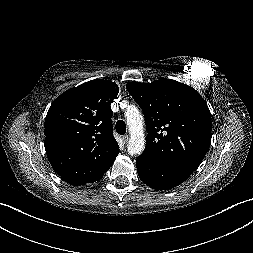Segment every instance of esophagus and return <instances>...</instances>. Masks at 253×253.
I'll use <instances>...</instances> for the list:
<instances>
[{"label":"esophagus","instance_id":"1","mask_svg":"<svg viewBox=\"0 0 253 253\" xmlns=\"http://www.w3.org/2000/svg\"><path fill=\"white\" fill-rule=\"evenodd\" d=\"M129 139H130V138H129L128 135H124V136L122 137V140H123V142H124L125 144L128 143Z\"/></svg>","mask_w":253,"mask_h":253}]
</instances>
